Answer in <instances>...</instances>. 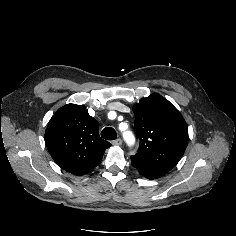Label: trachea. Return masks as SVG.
Segmentation results:
<instances>
[{
  "instance_id": "1",
  "label": "trachea",
  "mask_w": 236,
  "mask_h": 236,
  "mask_svg": "<svg viewBox=\"0 0 236 236\" xmlns=\"http://www.w3.org/2000/svg\"><path fill=\"white\" fill-rule=\"evenodd\" d=\"M101 137L106 140H115L117 137V134L114 128L105 127L101 132Z\"/></svg>"
}]
</instances>
